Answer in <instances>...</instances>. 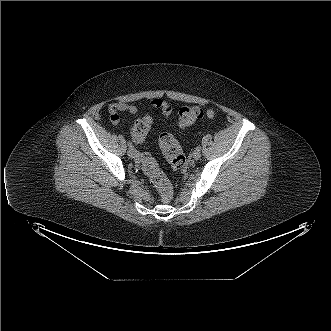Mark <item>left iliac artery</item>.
I'll return each instance as SVG.
<instances>
[{
	"label": "left iliac artery",
	"instance_id": "44dca946",
	"mask_svg": "<svg viewBox=\"0 0 331 331\" xmlns=\"http://www.w3.org/2000/svg\"><path fill=\"white\" fill-rule=\"evenodd\" d=\"M196 150H199V151H200V150H201V146H200V145L197 146V147H196Z\"/></svg>",
	"mask_w": 331,
	"mask_h": 331
}]
</instances>
